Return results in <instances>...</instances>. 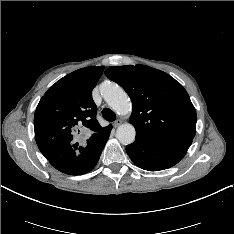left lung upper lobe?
Masks as SVG:
<instances>
[{
  "mask_svg": "<svg viewBox=\"0 0 234 234\" xmlns=\"http://www.w3.org/2000/svg\"><path fill=\"white\" fill-rule=\"evenodd\" d=\"M106 76L131 98V124L136 137L191 138L196 134V111L183 86L163 71L144 66H112Z\"/></svg>",
  "mask_w": 234,
  "mask_h": 234,
  "instance_id": "5c2ea615",
  "label": "left lung upper lobe"
}]
</instances>
